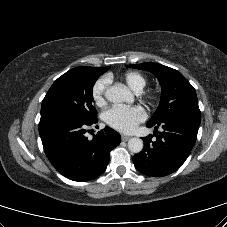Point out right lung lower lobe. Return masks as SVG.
Here are the masks:
<instances>
[{"mask_svg": "<svg viewBox=\"0 0 227 227\" xmlns=\"http://www.w3.org/2000/svg\"><path fill=\"white\" fill-rule=\"evenodd\" d=\"M97 123L59 114L40 119L39 133L44 152L63 176L73 181H89L101 175L110 159V151L121 142L115 130L105 127L89 140L87 126Z\"/></svg>", "mask_w": 227, "mask_h": 227, "instance_id": "obj_1", "label": "right lung lower lobe"}]
</instances>
